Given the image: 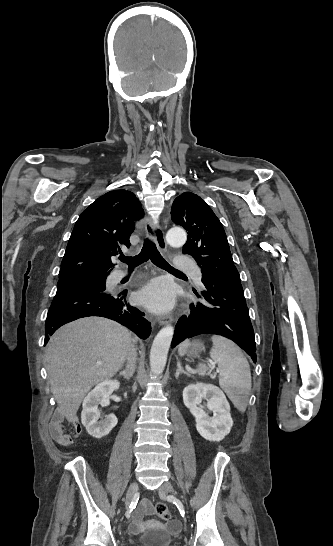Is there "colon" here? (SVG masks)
Wrapping results in <instances>:
<instances>
[{
  "mask_svg": "<svg viewBox=\"0 0 333 546\" xmlns=\"http://www.w3.org/2000/svg\"><path fill=\"white\" fill-rule=\"evenodd\" d=\"M155 512L160 518L164 520L170 519V511L164 503H157L155 505Z\"/></svg>",
  "mask_w": 333,
  "mask_h": 546,
  "instance_id": "5ec220e1",
  "label": "colon"
}]
</instances>
